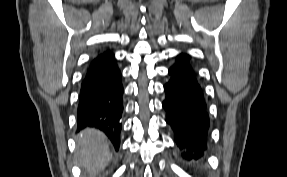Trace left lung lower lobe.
<instances>
[{"label":"left lung lower lobe","instance_id":"0a47b994","mask_svg":"<svg viewBox=\"0 0 287 177\" xmlns=\"http://www.w3.org/2000/svg\"><path fill=\"white\" fill-rule=\"evenodd\" d=\"M189 59V55L180 54L169 69L171 78L164 85L163 108L182 156L197 159L206 149L209 118L202 88Z\"/></svg>","mask_w":287,"mask_h":177}]
</instances>
